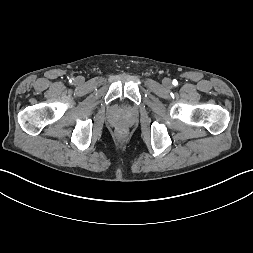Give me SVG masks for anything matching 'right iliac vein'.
<instances>
[{
	"label": "right iliac vein",
	"instance_id": "1",
	"mask_svg": "<svg viewBox=\"0 0 253 253\" xmlns=\"http://www.w3.org/2000/svg\"><path fill=\"white\" fill-rule=\"evenodd\" d=\"M75 81H76V83L81 84L84 82V77L78 76Z\"/></svg>",
	"mask_w": 253,
	"mask_h": 253
}]
</instances>
